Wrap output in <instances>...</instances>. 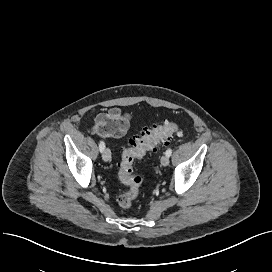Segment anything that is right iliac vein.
Wrapping results in <instances>:
<instances>
[{
	"label": "right iliac vein",
	"instance_id": "obj_1",
	"mask_svg": "<svg viewBox=\"0 0 272 272\" xmlns=\"http://www.w3.org/2000/svg\"><path fill=\"white\" fill-rule=\"evenodd\" d=\"M102 158L105 162H108L111 160V151L109 148H105L103 150Z\"/></svg>",
	"mask_w": 272,
	"mask_h": 272
}]
</instances>
